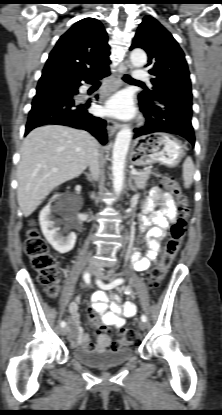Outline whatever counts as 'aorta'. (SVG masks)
<instances>
[{
	"label": "aorta",
	"instance_id": "762f6f07",
	"mask_svg": "<svg viewBox=\"0 0 222 415\" xmlns=\"http://www.w3.org/2000/svg\"><path fill=\"white\" fill-rule=\"evenodd\" d=\"M134 67H143L147 62L146 53L142 49H134L130 54ZM132 138V130L125 126L117 134L112 151L113 189L120 194L123 189L125 159Z\"/></svg>",
	"mask_w": 222,
	"mask_h": 415
}]
</instances>
